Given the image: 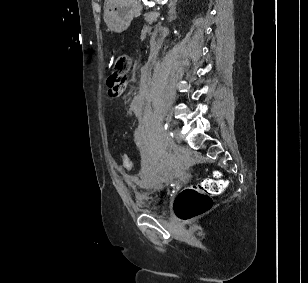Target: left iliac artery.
I'll return each instance as SVG.
<instances>
[{
	"mask_svg": "<svg viewBox=\"0 0 308 283\" xmlns=\"http://www.w3.org/2000/svg\"><path fill=\"white\" fill-rule=\"evenodd\" d=\"M169 128H170V124H169V122H166L165 125H164V130H165L167 135L171 136L170 138H173V133L169 132ZM167 139H168V137H167Z\"/></svg>",
	"mask_w": 308,
	"mask_h": 283,
	"instance_id": "obj_1",
	"label": "left iliac artery"
}]
</instances>
